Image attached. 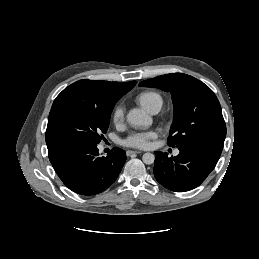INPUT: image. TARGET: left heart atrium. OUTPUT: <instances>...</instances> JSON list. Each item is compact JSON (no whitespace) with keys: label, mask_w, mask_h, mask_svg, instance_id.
<instances>
[{"label":"left heart atrium","mask_w":259,"mask_h":259,"mask_svg":"<svg viewBox=\"0 0 259 259\" xmlns=\"http://www.w3.org/2000/svg\"><path fill=\"white\" fill-rule=\"evenodd\" d=\"M153 131L134 133L123 140L122 144L127 147L145 149L149 146L150 140L155 138Z\"/></svg>","instance_id":"obj_1"}]
</instances>
